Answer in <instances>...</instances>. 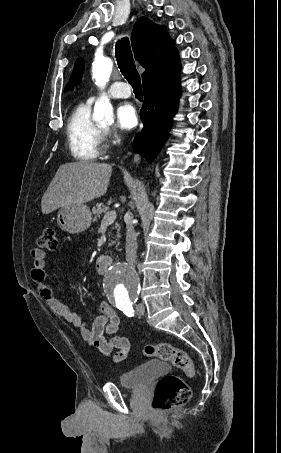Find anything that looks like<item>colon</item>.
Instances as JSON below:
<instances>
[{"mask_svg":"<svg viewBox=\"0 0 281 453\" xmlns=\"http://www.w3.org/2000/svg\"><path fill=\"white\" fill-rule=\"evenodd\" d=\"M57 233L56 226L44 227L43 233L37 241L40 250H54ZM145 354L147 357H156L162 362L169 363L181 371V374H166L156 383L152 401L154 411L166 413L187 403L191 394L183 376L194 377L198 373L197 366L190 360L188 354L170 344L148 346Z\"/></svg>","mask_w":281,"mask_h":453,"instance_id":"5ec220e1","label":"colon"}]
</instances>
